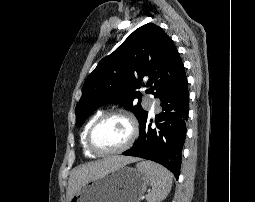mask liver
Segmentation results:
<instances>
[{
  "instance_id": "1",
  "label": "liver",
  "mask_w": 255,
  "mask_h": 202,
  "mask_svg": "<svg viewBox=\"0 0 255 202\" xmlns=\"http://www.w3.org/2000/svg\"><path fill=\"white\" fill-rule=\"evenodd\" d=\"M137 160L138 159L134 157L112 156L100 161L87 163L76 167L72 171L68 182L69 199L86 182L101 177L113 169L136 162Z\"/></svg>"
}]
</instances>
